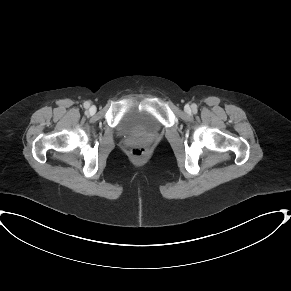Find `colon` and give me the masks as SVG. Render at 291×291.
Listing matches in <instances>:
<instances>
[{
  "label": "colon",
  "instance_id": "1",
  "mask_svg": "<svg viewBox=\"0 0 291 291\" xmlns=\"http://www.w3.org/2000/svg\"><path fill=\"white\" fill-rule=\"evenodd\" d=\"M131 156L136 160H143L148 154V150L143 145H135L131 151Z\"/></svg>",
  "mask_w": 291,
  "mask_h": 291
}]
</instances>
